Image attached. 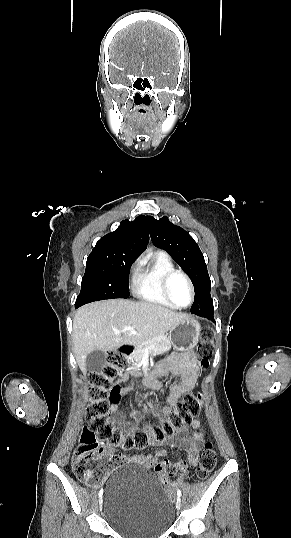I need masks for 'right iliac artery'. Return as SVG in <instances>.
Masks as SVG:
<instances>
[{
    "label": "right iliac artery",
    "instance_id": "82829eb1",
    "mask_svg": "<svg viewBox=\"0 0 291 538\" xmlns=\"http://www.w3.org/2000/svg\"><path fill=\"white\" fill-rule=\"evenodd\" d=\"M102 494H103V489H101V490L99 491V494H98V495H99V498L102 497Z\"/></svg>",
    "mask_w": 291,
    "mask_h": 538
}]
</instances>
